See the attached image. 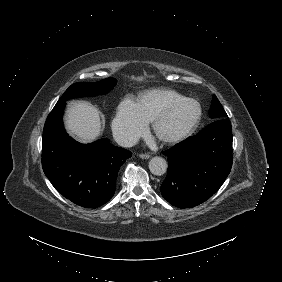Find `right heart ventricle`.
I'll return each mask as SVG.
<instances>
[{
	"mask_svg": "<svg viewBox=\"0 0 282 282\" xmlns=\"http://www.w3.org/2000/svg\"><path fill=\"white\" fill-rule=\"evenodd\" d=\"M181 96L169 90H153L147 92L139 104L148 118V120H155L170 103L180 99Z\"/></svg>",
	"mask_w": 282,
	"mask_h": 282,
	"instance_id": "1",
	"label": "right heart ventricle"
}]
</instances>
